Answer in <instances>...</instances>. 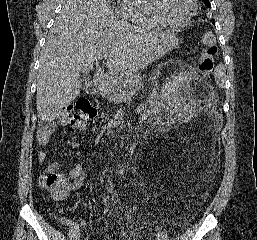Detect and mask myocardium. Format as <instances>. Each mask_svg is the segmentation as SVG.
Returning a JSON list of instances; mask_svg holds the SVG:
<instances>
[{"instance_id":"1","label":"myocardium","mask_w":257,"mask_h":240,"mask_svg":"<svg viewBox=\"0 0 257 240\" xmlns=\"http://www.w3.org/2000/svg\"><path fill=\"white\" fill-rule=\"evenodd\" d=\"M150 1V7L154 14V16L162 22L165 26L172 27V28H181L190 23V21L193 19L197 12V2L196 0H190L191 9L189 14L185 19L179 22L170 21L167 19L164 14L162 13L160 9V0H149Z\"/></svg>"}]
</instances>
